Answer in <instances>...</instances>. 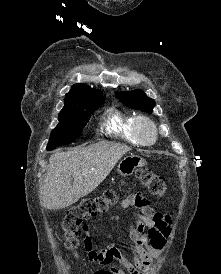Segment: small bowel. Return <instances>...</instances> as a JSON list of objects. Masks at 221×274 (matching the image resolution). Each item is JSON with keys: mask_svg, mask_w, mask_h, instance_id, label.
<instances>
[{"mask_svg": "<svg viewBox=\"0 0 221 274\" xmlns=\"http://www.w3.org/2000/svg\"><path fill=\"white\" fill-rule=\"evenodd\" d=\"M120 205L131 212L132 222L125 247L131 254L132 261L124 257L118 245L112 244L96 249L88 235V226L83 224V243L88 260L103 266L93 274H125L122 269L111 266L113 261L119 262L128 274H147L152 260L161 255L171 235L169 215L157 212L141 193L130 194L120 202Z\"/></svg>", "mask_w": 221, "mask_h": 274, "instance_id": "c3829d8e", "label": "small bowel"}]
</instances>
